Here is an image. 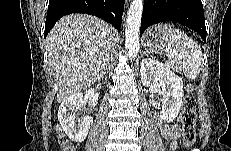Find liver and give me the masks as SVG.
Returning <instances> with one entry per match:
<instances>
[{"label":"liver","instance_id":"1","mask_svg":"<svg viewBox=\"0 0 231 151\" xmlns=\"http://www.w3.org/2000/svg\"><path fill=\"white\" fill-rule=\"evenodd\" d=\"M114 40V28L95 16L72 14L55 24L46 44L57 102L102 78Z\"/></svg>","mask_w":231,"mask_h":151}]
</instances>
